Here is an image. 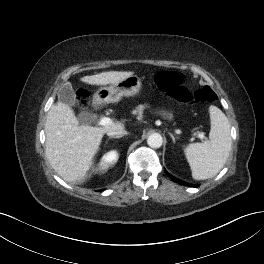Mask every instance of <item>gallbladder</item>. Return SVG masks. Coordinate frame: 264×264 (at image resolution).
Listing matches in <instances>:
<instances>
[{
	"label": "gallbladder",
	"instance_id": "1",
	"mask_svg": "<svg viewBox=\"0 0 264 264\" xmlns=\"http://www.w3.org/2000/svg\"><path fill=\"white\" fill-rule=\"evenodd\" d=\"M58 101L69 107L75 105V94L70 83L63 84L58 91ZM93 113L82 111L78 115V119L82 124H88L93 120Z\"/></svg>",
	"mask_w": 264,
	"mask_h": 264
}]
</instances>
